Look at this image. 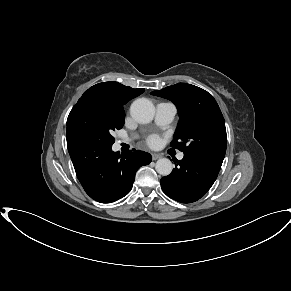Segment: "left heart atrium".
Segmentation results:
<instances>
[{"mask_svg": "<svg viewBox=\"0 0 291 291\" xmlns=\"http://www.w3.org/2000/svg\"><path fill=\"white\" fill-rule=\"evenodd\" d=\"M161 140L159 136L157 135H151L147 138V144L151 147H157L159 146Z\"/></svg>", "mask_w": 291, "mask_h": 291, "instance_id": "39dd6f15", "label": "left heart atrium"}]
</instances>
